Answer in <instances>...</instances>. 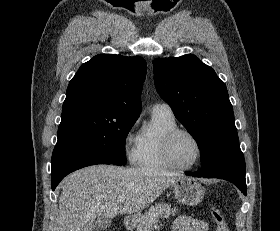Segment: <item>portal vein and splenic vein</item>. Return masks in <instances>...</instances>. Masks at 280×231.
Listing matches in <instances>:
<instances>
[{
    "label": "portal vein and splenic vein",
    "mask_w": 280,
    "mask_h": 231,
    "mask_svg": "<svg viewBox=\"0 0 280 231\" xmlns=\"http://www.w3.org/2000/svg\"><path fill=\"white\" fill-rule=\"evenodd\" d=\"M118 201H125V199H118ZM154 227H159V225H154Z\"/></svg>",
    "instance_id": "18ae733b"
}]
</instances>
